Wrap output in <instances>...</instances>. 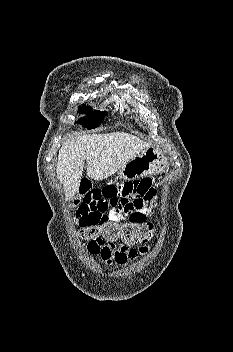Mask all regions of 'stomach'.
Segmentation results:
<instances>
[{
  "instance_id": "0dacf381",
  "label": "stomach",
  "mask_w": 233,
  "mask_h": 352,
  "mask_svg": "<svg viewBox=\"0 0 233 352\" xmlns=\"http://www.w3.org/2000/svg\"><path fill=\"white\" fill-rule=\"evenodd\" d=\"M167 167V159L157 148L148 147L133 157L118 170V176L131 181L145 176L158 174Z\"/></svg>"
}]
</instances>
